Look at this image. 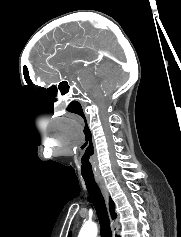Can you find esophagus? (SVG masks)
Instances as JSON below:
<instances>
[{"label":"esophagus","instance_id":"34e87169","mask_svg":"<svg viewBox=\"0 0 181 237\" xmlns=\"http://www.w3.org/2000/svg\"><path fill=\"white\" fill-rule=\"evenodd\" d=\"M96 180H97V183L101 189V192H102L106 202L108 203L109 194H108V190H107V187H106L103 179L98 178Z\"/></svg>","mask_w":181,"mask_h":237}]
</instances>
